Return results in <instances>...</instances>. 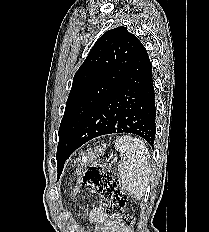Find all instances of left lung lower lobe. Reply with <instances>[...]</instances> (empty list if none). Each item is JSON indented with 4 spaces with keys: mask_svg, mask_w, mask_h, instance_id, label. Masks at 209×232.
I'll list each match as a JSON object with an SVG mask.
<instances>
[{
    "mask_svg": "<svg viewBox=\"0 0 209 232\" xmlns=\"http://www.w3.org/2000/svg\"><path fill=\"white\" fill-rule=\"evenodd\" d=\"M155 119L152 65L141 43L124 78L76 131L69 155L86 142L112 133L136 134L153 147Z\"/></svg>",
    "mask_w": 209,
    "mask_h": 232,
    "instance_id": "0a47b994",
    "label": "left lung lower lobe"
}]
</instances>
